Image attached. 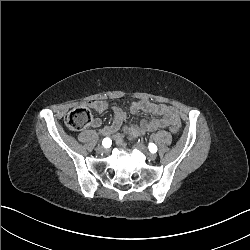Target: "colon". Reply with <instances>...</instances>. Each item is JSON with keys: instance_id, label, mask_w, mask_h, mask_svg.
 <instances>
[{"instance_id": "obj_1", "label": "colon", "mask_w": 250, "mask_h": 250, "mask_svg": "<svg viewBox=\"0 0 250 250\" xmlns=\"http://www.w3.org/2000/svg\"><path fill=\"white\" fill-rule=\"evenodd\" d=\"M91 120L92 115L90 110L83 106L72 108L64 117L65 126L71 131L84 129L90 124ZM169 130L174 136L179 132L177 125H172Z\"/></svg>"}]
</instances>
